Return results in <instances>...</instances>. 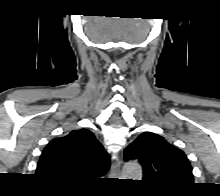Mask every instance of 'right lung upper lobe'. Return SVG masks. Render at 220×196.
Returning a JSON list of instances; mask_svg holds the SVG:
<instances>
[{
  "label": "right lung upper lobe",
  "mask_w": 220,
  "mask_h": 196,
  "mask_svg": "<svg viewBox=\"0 0 220 196\" xmlns=\"http://www.w3.org/2000/svg\"><path fill=\"white\" fill-rule=\"evenodd\" d=\"M110 168L108 154L87 129L53 139L43 150L36 175L50 184L78 186L101 177Z\"/></svg>",
  "instance_id": "1"
}]
</instances>
